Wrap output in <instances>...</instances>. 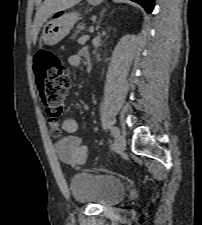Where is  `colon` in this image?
Listing matches in <instances>:
<instances>
[{
  "label": "colon",
  "mask_w": 202,
  "mask_h": 225,
  "mask_svg": "<svg viewBox=\"0 0 202 225\" xmlns=\"http://www.w3.org/2000/svg\"><path fill=\"white\" fill-rule=\"evenodd\" d=\"M37 87L48 123L58 133L62 102L70 88V76L59 56L49 50L39 52L34 59Z\"/></svg>",
  "instance_id": "5ec220e1"
}]
</instances>
